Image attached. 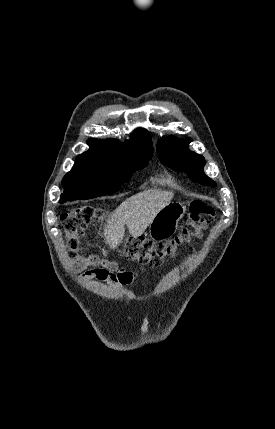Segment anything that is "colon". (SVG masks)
I'll return each instance as SVG.
<instances>
[{
  "instance_id": "1",
  "label": "colon",
  "mask_w": 275,
  "mask_h": 429,
  "mask_svg": "<svg viewBox=\"0 0 275 429\" xmlns=\"http://www.w3.org/2000/svg\"><path fill=\"white\" fill-rule=\"evenodd\" d=\"M102 217L100 209L89 205L71 208L61 215V223L69 240V256L77 262L102 263L104 269L113 272L117 277H123V272L111 262L100 260L96 256H84L81 252L80 239L83 231L89 226L100 225ZM214 217L215 211L211 206L194 201L189 207L188 220L176 237L165 243L128 237L123 246V254L129 260L159 267L164 259L175 257L180 248L191 245L195 239L200 238Z\"/></svg>"
}]
</instances>
